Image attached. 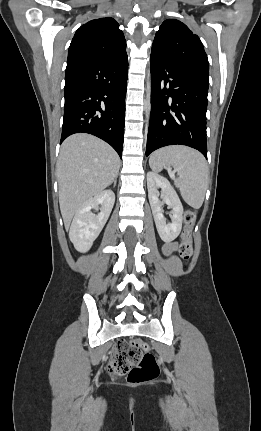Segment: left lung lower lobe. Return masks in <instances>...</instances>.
<instances>
[{
    "instance_id": "0a47b994",
    "label": "left lung lower lobe",
    "mask_w": 261,
    "mask_h": 431,
    "mask_svg": "<svg viewBox=\"0 0 261 431\" xmlns=\"http://www.w3.org/2000/svg\"><path fill=\"white\" fill-rule=\"evenodd\" d=\"M151 116L146 156L168 145H186L207 158L208 75L151 53Z\"/></svg>"
}]
</instances>
